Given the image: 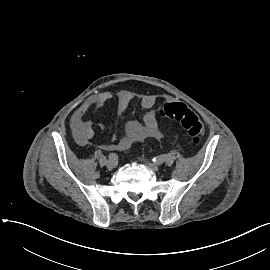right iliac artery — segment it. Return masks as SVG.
<instances>
[{"label":"right iliac artery","instance_id":"82829eb1","mask_svg":"<svg viewBox=\"0 0 270 270\" xmlns=\"http://www.w3.org/2000/svg\"><path fill=\"white\" fill-rule=\"evenodd\" d=\"M109 160L113 161V162H117L118 161V155L115 153H110L109 154Z\"/></svg>","mask_w":270,"mask_h":270}]
</instances>
